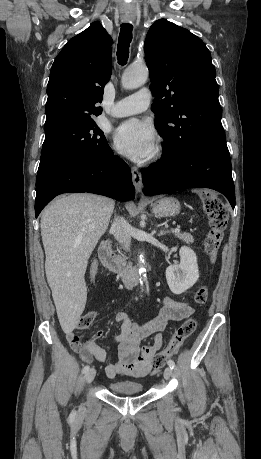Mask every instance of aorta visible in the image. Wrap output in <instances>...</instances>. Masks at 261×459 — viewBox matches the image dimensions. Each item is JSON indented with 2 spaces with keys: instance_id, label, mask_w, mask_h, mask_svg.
Returning a JSON list of instances; mask_svg holds the SVG:
<instances>
[{
  "instance_id": "762f6f07",
  "label": "aorta",
  "mask_w": 261,
  "mask_h": 459,
  "mask_svg": "<svg viewBox=\"0 0 261 459\" xmlns=\"http://www.w3.org/2000/svg\"><path fill=\"white\" fill-rule=\"evenodd\" d=\"M149 76L148 68L145 65L131 66L125 70L121 78V85L126 90H132L145 84ZM145 259L143 254L138 258V272L140 283L143 284L146 278V269L144 267Z\"/></svg>"
}]
</instances>
